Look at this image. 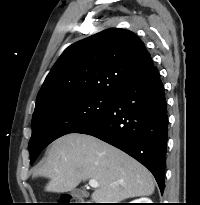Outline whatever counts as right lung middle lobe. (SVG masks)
I'll return each mask as SVG.
<instances>
[{"label": "right lung middle lobe", "mask_w": 200, "mask_h": 205, "mask_svg": "<svg viewBox=\"0 0 200 205\" xmlns=\"http://www.w3.org/2000/svg\"><path fill=\"white\" fill-rule=\"evenodd\" d=\"M113 97L86 95L54 103L32 119V136L29 142L30 163L55 139L77 132L94 123L109 110Z\"/></svg>", "instance_id": "obj_1"}]
</instances>
